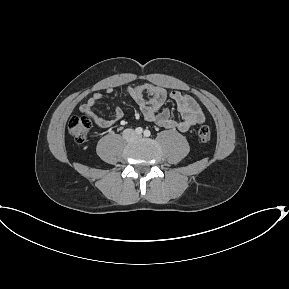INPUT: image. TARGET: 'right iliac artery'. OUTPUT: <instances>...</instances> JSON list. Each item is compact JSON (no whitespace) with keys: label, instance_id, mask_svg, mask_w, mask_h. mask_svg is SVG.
<instances>
[{"label":"right iliac artery","instance_id":"1","mask_svg":"<svg viewBox=\"0 0 289 289\" xmlns=\"http://www.w3.org/2000/svg\"><path fill=\"white\" fill-rule=\"evenodd\" d=\"M135 132H136L137 134H141V133L143 132V129H142L141 127H137V128L135 129Z\"/></svg>","mask_w":289,"mask_h":289}]
</instances>
